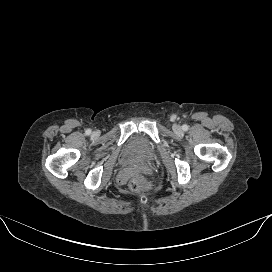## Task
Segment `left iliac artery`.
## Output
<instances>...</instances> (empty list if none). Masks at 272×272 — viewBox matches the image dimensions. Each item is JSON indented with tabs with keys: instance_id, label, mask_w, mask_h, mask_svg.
<instances>
[{
	"instance_id": "obj_1",
	"label": "left iliac artery",
	"mask_w": 272,
	"mask_h": 272,
	"mask_svg": "<svg viewBox=\"0 0 272 272\" xmlns=\"http://www.w3.org/2000/svg\"><path fill=\"white\" fill-rule=\"evenodd\" d=\"M182 129H183L184 131H187V130L189 129V127H188V125H183V126H182Z\"/></svg>"
}]
</instances>
